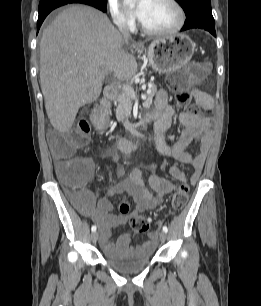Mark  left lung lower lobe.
Instances as JSON below:
<instances>
[{
	"mask_svg": "<svg viewBox=\"0 0 261 306\" xmlns=\"http://www.w3.org/2000/svg\"><path fill=\"white\" fill-rule=\"evenodd\" d=\"M192 28H201L207 30L213 36H216L215 27H214V18L205 15H195L187 17L181 31H185Z\"/></svg>",
	"mask_w": 261,
	"mask_h": 306,
	"instance_id": "left-lung-lower-lobe-1",
	"label": "left lung lower lobe"
}]
</instances>
